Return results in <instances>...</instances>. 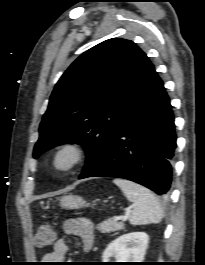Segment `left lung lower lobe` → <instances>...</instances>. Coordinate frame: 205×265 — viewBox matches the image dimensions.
I'll return each instance as SVG.
<instances>
[{"instance_id":"0a47b994","label":"left lung lower lobe","mask_w":205,"mask_h":265,"mask_svg":"<svg viewBox=\"0 0 205 265\" xmlns=\"http://www.w3.org/2000/svg\"><path fill=\"white\" fill-rule=\"evenodd\" d=\"M175 148L170 100L153 70L142 93L124 113L103 149L84 167L79 179L124 178L163 195L171 186Z\"/></svg>"}]
</instances>
